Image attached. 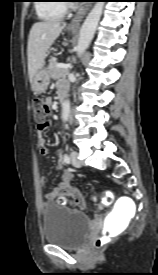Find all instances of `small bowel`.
<instances>
[{"instance_id": "small-bowel-1", "label": "small bowel", "mask_w": 158, "mask_h": 275, "mask_svg": "<svg viewBox=\"0 0 158 275\" xmlns=\"http://www.w3.org/2000/svg\"><path fill=\"white\" fill-rule=\"evenodd\" d=\"M58 90H60L63 87H68L67 83L63 80H59L57 82ZM50 125V122L48 121V127ZM43 130H37V146L43 155H48L50 153V148L48 147L45 139L42 137L41 133ZM64 166V162L61 160V158L58 160L56 167L57 169L61 170ZM72 174L70 171H66L63 174L62 181L56 185L53 189L47 191L44 194V198L46 201H54L59 198H63L64 200H67L71 203H74L78 207L83 208L85 206L84 199L82 197V194L80 191L75 188L72 183ZM46 182L45 177L39 178V184L44 185Z\"/></svg>"}]
</instances>
